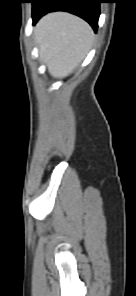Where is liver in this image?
<instances>
[{
  "instance_id": "6515ba94",
  "label": "liver",
  "mask_w": 136,
  "mask_h": 296,
  "mask_svg": "<svg viewBox=\"0 0 136 296\" xmlns=\"http://www.w3.org/2000/svg\"><path fill=\"white\" fill-rule=\"evenodd\" d=\"M34 35L40 60L55 78H64L79 66L94 38L88 23L66 12L45 15L37 23Z\"/></svg>"
}]
</instances>
